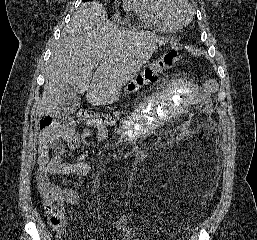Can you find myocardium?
Here are the masks:
<instances>
[{"label": "myocardium", "mask_w": 257, "mask_h": 240, "mask_svg": "<svg viewBox=\"0 0 257 240\" xmlns=\"http://www.w3.org/2000/svg\"><path fill=\"white\" fill-rule=\"evenodd\" d=\"M169 12L178 24L187 23L193 14L194 8L189 0H168Z\"/></svg>", "instance_id": "1"}]
</instances>
